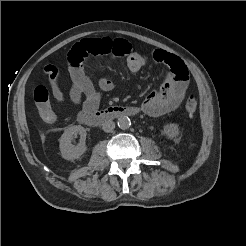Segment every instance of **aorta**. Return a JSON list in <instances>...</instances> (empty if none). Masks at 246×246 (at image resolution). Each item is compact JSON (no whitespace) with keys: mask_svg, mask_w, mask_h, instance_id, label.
Returning a JSON list of instances; mask_svg holds the SVG:
<instances>
[{"mask_svg":"<svg viewBox=\"0 0 246 246\" xmlns=\"http://www.w3.org/2000/svg\"><path fill=\"white\" fill-rule=\"evenodd\" d=\"M117 124L120 129L126 130L131 126V121L127 116H121L118 118Z\"/></svg>","mask_w":246,"mask_h":246,"instance_id":"762f6f07","label":"aorta"}]
</instances>
